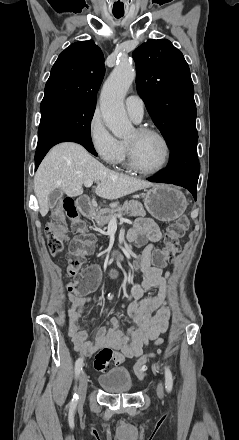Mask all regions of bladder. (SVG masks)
I'll return each mask as SVG.
<instances>
[{
	"label": "bladder",
	"instance_id": "1",
	"mask_svg": "<svg viewBox=\"0 0 239 440\" xmlns=\"http://www.w3.org/2000/svg\"><path fill=\"white\" fill-rule=\"evenodd\" d=\"M100 386L110 393H128L132 390L133 382L125 369H112L99 377Z\"/></svg>",
	"mask_w": 239,
	"mask_h": 440
}]
</instances>
